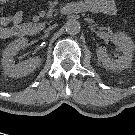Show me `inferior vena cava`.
<instances>
[{
  "label": "inferior vena cava",
  "mask_w": 135,
  "mask_h": 135,
  "mask_svg": "<svg viewBox=\"0 0 135 135\" xmlns=\"http://www.w3.org/2000/svg\"><path fill=\"white\" fill-rule=\"evenodd\" d=\"M53 28H54L53 26L49 27L47 30H45V32H48V31L52 30Z\"/></svg>",
  "instance_id": "602c4592"
}]
</instances>
